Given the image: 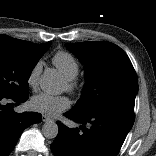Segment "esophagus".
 Here are the masks:
<instances>
[{
    "label": "esophagus",
    "instance_id": "34e87169",
    "mask_svg": "<svg viewBox=\"0 0 156 156\" xmlns=\"http://www.w3.org/2000/svg\"><path fill=\"white\" fill-rule=\"evenodd\" d=\"M42 120H43V122H49L52 119L50 117L46 116V115H43Z\"/></svg>",
    "mask_w": 156,
    "mask_h": 156
}]
</instances>
